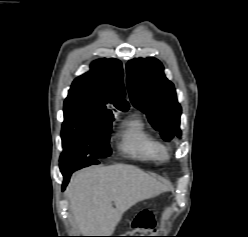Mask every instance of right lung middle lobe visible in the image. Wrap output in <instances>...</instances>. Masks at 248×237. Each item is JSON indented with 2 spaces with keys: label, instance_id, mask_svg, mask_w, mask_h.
Wrapping results in <instances>:
<instances>
[{
  "label": "right lung middle lobe",
  "instance_id": "right-lung-middle-lobe-1",
  "mask_svg": "<svg viewBox=\"0 0 248 237\" xmlns=\"http://www.w3.org/2000/svg\"><path fill=\"white\" fill-rule=\"evenodd\" d=\"M113 116H98L76 107L64 106L60 162L99 159L111 154L109 139Z\"/></svg>",
  "mask_w": 248,
  "mask_h": 237
}]
</instances>
